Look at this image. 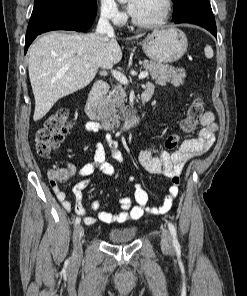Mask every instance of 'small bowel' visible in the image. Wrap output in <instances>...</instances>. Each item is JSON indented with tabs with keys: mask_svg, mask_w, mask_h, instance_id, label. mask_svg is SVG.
<instances>
[{
	"mask_svg": "<svg viewBox=\"0 0 247 296\" xmlns=\"http://www.w3.org/2000/svg\"><path fill=\"white\" fill-rule=\"evenodd\" d=\"M146 89H154L152 83H148ZM202 129L197 137L185 139L179 148L172 152L159 151L157 157L153 150H143L138 155L140 164L152 175H162L171 179L172 185L169 187L168 193L165 195L163 202L159 206L148 204V194L140 184L134 185L133 197L121 196L119 203L121 211L111 213L108 211H98L100 202L91 203V209L98 211L96 217L85 215V209L82 206L83 191L91 184V176L96 170L109 177L116 174V170L112 164L107 161L106 151L99 144H94V155L92 160L85 164L79 174L83 177L72 187V195L74 202L68 199L67 193L62 190H55L58 201L67 212L74 211L76 214L83 216V222L87 225H93L97 222L105 224L125 223L132 220H138L143 216H155L168 212L178 194V183L174 182V178L180 176L182 170L191 158L201 155L208 151L212 146L217 131V124L214 115L210 111H206L201 118ZM85 133H93L101 130V125L96 122H87L83 128ZM112 156L121 165H125V158L116 145L112 146ZM69 176H73L76 172L71 165L67 169ZM133 180V178H130Z\"/></svg>",
	"mask_w": 247,
	"mask_h": 296,
	"instance_id": "obj_1",
	"label": "small bowel"
}]
</instances>
